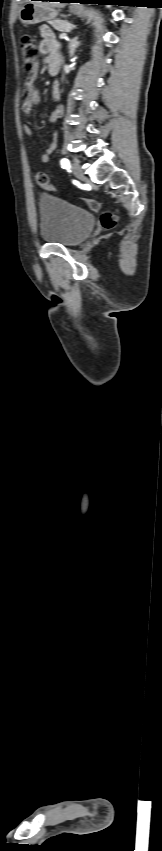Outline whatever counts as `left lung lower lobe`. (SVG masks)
<instances>
[{"label": "left lung lower lobe", "instance_id": "1", "mask_svg": "<svg viewBox=\"0 0 162 851\" xmlns=\"http://www.w3.org/2000/svg\"><path fill=\"white\" fill-rule=\"evenodd\" d=\"M61 2H70V0H60ZM119 0H81L80 3L84 4H99V5H111L114 2H118Z\"/></svg>", "mask_w": 162, "mask_h": 851}]
</instances>
